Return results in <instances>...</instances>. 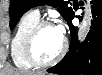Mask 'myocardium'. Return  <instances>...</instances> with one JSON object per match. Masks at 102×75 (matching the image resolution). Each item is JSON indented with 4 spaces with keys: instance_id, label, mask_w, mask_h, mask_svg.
Wrapping results in <instances>:
<instances>
[{
    "instance_id": "obj_1",
    "label": "myocardium",
    "mask_w": 102,
    "mask_h": 75,
    "mask_svg": "<svg viewBox=\"0 0 102 75\" xmlns=\"http://www.w3.org/2000/svg\"><path fill=\"white\" fill-rule=\"evenodd\" d=\"M47 26H54L56 27L55 23L49 19H44V20H39L30 30L29 34L27 35L25 42H24V51L26 54L27 59L33 66L37 67H48L51 66L55 63H57L66 53L67 51V40L65 37H63V44L60 52L52 59L49 61H42L40 60L34 49V44L37 36L39 33L42 31L43 28Z\"/></svg>"
}]
</instances>
